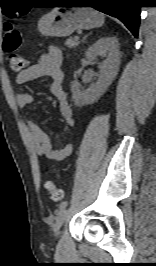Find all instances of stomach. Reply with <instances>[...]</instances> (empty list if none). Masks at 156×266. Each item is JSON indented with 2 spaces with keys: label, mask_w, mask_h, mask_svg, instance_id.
Masks as SVG:
<instances>
[{
  "label": "stomach",
  "mask_w": 156,
  "mask_h": 266,
  "mask_svg": "<svg viewBox=\"0 0 156 266\" xmlns=\"http://www.w3.org/2000/svg\"><path fill=\"white\" fill-rule=\"evenodd\" d=\"M104 15L89 8L59 7L44 15L38 24L45 37H66L78 29L102 26Z\"/></svg>",
  "instance_id": "stomach-1"
}]
</instances>
